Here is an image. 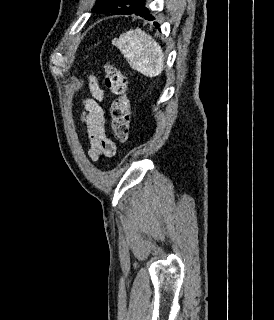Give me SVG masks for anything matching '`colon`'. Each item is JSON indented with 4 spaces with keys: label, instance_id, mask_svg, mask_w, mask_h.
<instances>
[{
    "label": "colon",
    "instance_id": "1",
    "mask_svg": "<svg viewBox=\"0 0 274 320\" xmlns=\"http://www.w3.org/2000/svg\"><path fill=\"white\" fill-rule=\"evenodd\" d=\"M106 83L116 98L111 105L112 124L111 130L114 136L123 141L131 131V106L127 96V78L124 72L114 66L105 67Z\"/></svg>",
    "mask_w": 274,
    "mask_h": 320
}]
</instances>
